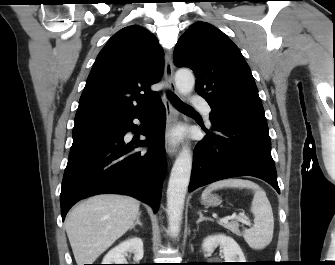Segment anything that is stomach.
<instances>
[{
	"label": "stomach",
	"mask_w": 335,
	"mask_h": 265,
	"mask_svg": "<svg viewBox=\"0 0 335 265\" xmlns=\"http://www.w3.org/2000/svg\"><path fill=\"white\" fill-rule=\"evenodd\" d=\"M204 204L210 205V206H216L220 204V199L212 194H209L205 199H203Z\"/></svg>",
	"instance_id": "1"
}]
</instances>
